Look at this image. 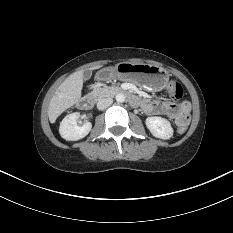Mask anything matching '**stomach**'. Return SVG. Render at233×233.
I'll list each match as a JSON object with an SVG mask.
<instances>
[{
	"label": "stomach",
	"instance_id": "1",
	"mask_svg": "<svg viewBox=\"0 0 233 233\" xmlns=\"http://www.w3.org/2000/svg\"><path fill=\"white\" fill-rule=\"evenodd\" d=\"M97 81L112 79L129 80L144 88L160 91L169 80L168 72L159 66L146 63L121 62L114 67L103 68L96 73Z\"/></svg>",
	"mask_w": 233,
	"mask_h": 233
}]
</instances>
